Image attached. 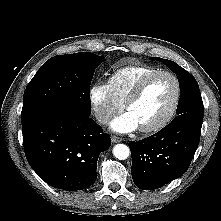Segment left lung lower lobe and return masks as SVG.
<instances>
[{"mask_svg": "<svg viewBox=\"0 0 221 221\" xmlns=\"http://www.w3.org/2000/svg\"><path fill=\"white\" fill-rule=\"evenodd\" d=\"M202 122L196 116L175 120L146 139L131 141V173L136 186L153 190L182 176L199 145Z\"/></svg>", "mask_w": 221, "mask_h": 221, "instance_id": "1", "label": "left lung lower lobe"}]
</instances>
